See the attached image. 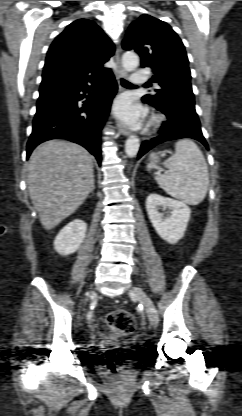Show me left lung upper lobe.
Returning <instances> with one entry per match:
<instances>
[{
	"label": "left lung upper lobe",
	"mask_w": 242,
	"mask_h": 416,
	"mask_svg": "<svg viewBox=\"0 0 242 416\" xmlns=\"http://www.w3.org/2000/svg\"><path fill=\"white\" fill-rule=\"evenodd\" d=\"M122 47L140 55L142 67L152 69V80L161 87L155 94L143 96L144 102L161 108L172 103L195 106L184 45L166 22L140 16L130 25Z\"/></svg>",
	"instance_id": "left-lung-upper-lobe-1"
}]
</instances>
